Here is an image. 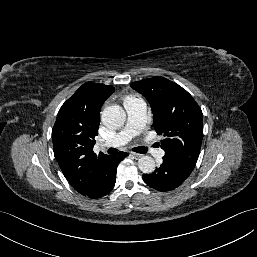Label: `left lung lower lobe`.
Wrapping results in <instances>:
<instances>
[{
  "label": "left lung lower lobe",
  "mask_w": 257,
  "mask_h": 257,
  "mask_svg": "<svg viewBox=\"0 0 257 257\" xmlns=\"http://www.w3.org/2000/svg\"><path fill=\"white\" fill-rule=\"evenodd\" d=\"M193 170L163 157L162 164L151 174H143L144 182L155 190L166 192L179 187Z\"/></svg>",
  "instance_id": "obj_1"
}]
</instances>
